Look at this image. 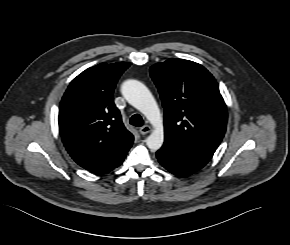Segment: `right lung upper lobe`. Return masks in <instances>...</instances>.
Masks as SVG:
<instances>
[{
    "label": "right lung upper lobe",
    "mask_w": 290,
    "mask_h": 245,
    "mask_svg": "<svg viewBox=\"0 0 290 245\" xmlns=\"http://www.w3.org/2000/svg\"><path fill=\"white\" fill-rule=\"evenodd\" d=\"M127 62L101 63L72 80L59 107V130L73 160L88 171L118 167L134 137L124 127L113 91Z\"/></svg>",
    "instance_id": "cb5924a9"
}]
</instances>
